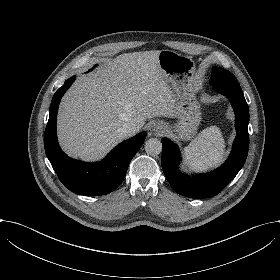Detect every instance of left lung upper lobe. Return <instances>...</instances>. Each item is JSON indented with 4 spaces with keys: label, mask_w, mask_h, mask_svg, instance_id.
I'll use <instances>...</instances> for the list:
<instances>
[{
    "label": "left lung upper lobe",
    "mask_w": 280,
    "mask_h": 280,
    "mask_svg": "<svg viewBox=\"0 0 280 280\" xmlns=\"http://www.w3.org/2000/svg\"><path fill=\"white\" fill-rule=\"evenodd\" d=\"M229 81H237L235 76L231 72L220 67H214L212 69V76L210 79L211 85L214 86L216 84L225 83Z\"/></svg>",
    "instance_id": "left-lung-upper-lobe-1"
}]
</instances>
